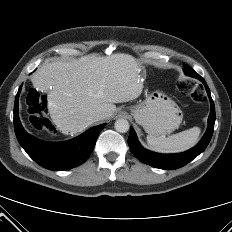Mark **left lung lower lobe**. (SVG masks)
<instances>
[{"instance_id":"obj_1","label":"left lung lower lobe","mask_w":232,"mask_h":232,"mask_svg":"<svg viewBox=\"0 0 232 232\" xmlns=\"http://www.w3.org/2000/svg\"><path fill=\"white\" fill-rule=\"evenodd\" d=\"M184 71L185 74H187L188 76L195 77L201 80L206 88L211 103V112L208 119V128L202 140L194 148L183 153L168 155L153 153L145 150L138 142L133 128H131L130 135L128 138L130 150L141 162L155 168L173 170L183 167L205 150V148L211 140L214 131L215 106L211 98L210 90L205 80L198 73H196L190 66L185 65Z\"/></svg>"}]
</instances>
